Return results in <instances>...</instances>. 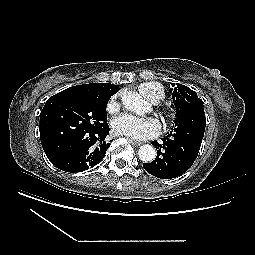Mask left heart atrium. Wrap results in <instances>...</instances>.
Listing matches in <instances>:
<instances>
[{
    "label": "left heart atrium",
    "instance_id": "obj_1",
    "mask_svg": "<svg viewBox=\"0 0 255 255\" xmlns=\"http://www.w3.org/2000/svg\"><path fill=\"white\" fill-rule=\"evenodd\" d=\"M112 130L117 135L145 140L155 137L160 132V125L154 118H137L129 114H120L111 122Z\"/></svg>",
    "mask_w": 255,
    "mask_h": 255
}]
</instances>
